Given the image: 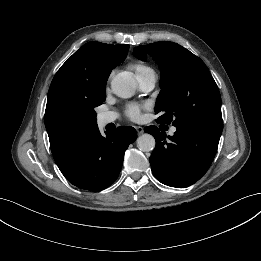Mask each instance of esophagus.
Returning a JSON list of instances; mask_svg holds the SVG:
<instances>
[{"label": "esophagus", "mask_w": 261, "mask_h": 261, "mask_svg": "<svg viewBox=\"0 0 261 261\" xmlns=\"http://www.w3.org/2000/svg\"><path fill=\"white\" fill-rule=\"evenodd\" d=\"M136 131H137V133H138L139 135H141V134L144 133V129H143V127H141V126H137V127H136Z\"/></svg>", "instance_id": "obj_1"}]
</instances>
